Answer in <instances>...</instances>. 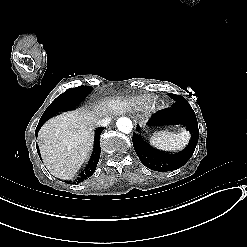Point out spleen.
I'll use <instances>...</instances> for the list:
<instances>
[{"mask_svg": "<svg viewBox=\"0 0 247 247\" xmlns=\"http://www.w3.org/2000/svg\"><path fill=\"white\" fill-rule=\"evenodd\" d=\"M191 135L188 131H183L180 134L171 132L154 133L150 139V144L157 149L165 151H180L189 143Z\"/></svg>", "mask_w": 247, "mask_h": 247, "instance_id": "3e777b00", "label": "spleen"}]
</instances>
